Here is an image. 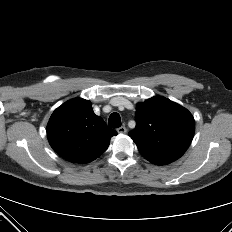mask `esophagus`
Wrapping results in <instances>:
<instances>
[{
    "label": "esophagus",
    "instance_id": "34e87169",
    "mask_svg": "<svg viewBox=\"0 0 232 232\" xmlns=\"http://www.w3.org/2000/svg\"><path fill=\"white\" fill-rule=\"evenodd\" d=\"M118 133L125 134L127 132V129L125 126H121L117 129Z\"/></svg>",
    "mask_w": 232,
    "mask_h": 232
}]
</instances>
